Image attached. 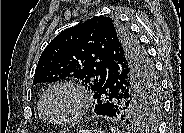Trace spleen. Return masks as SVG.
<instances>
[{"label":"spleen","instance_id":"3e777b00","mask_svg":"<svg viewBox=\"0 0 184 133\" xmlns=\"http://www.w3.org/2000/svg\"><path fill=\"white\" fill-rule=\"evenodd\" d=\"M112 132L113 133H123L121 130H119V129H112Z\"/></svg>","mask_w":184,"mask_h":133}]
</instances>
